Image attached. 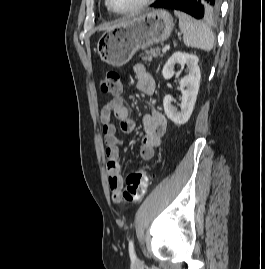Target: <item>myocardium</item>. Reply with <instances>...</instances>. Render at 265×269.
<instances>
[{
  "mask_svg": "<svg viewBox=\"0 0 265 269\" xmlns=\"http://www.w3.org/2000/svg\"><path fill=\"white\" fill-rule=\"evenodd\" d=\"M155 0H143L142 2H140L138 5H136L135 7L131 8V9H126V10H117L113 7L111 0H105L106 2V6L108 7V9L115 13V14H132V13H136L139 12L143 9H145L146 7H148L150 4H152Z\"/></svg>",
  "mask_w": 265,
  "mask_h": 269,
  "instance_id": "1",
  "label": "myocardium"
}]
</instances>
